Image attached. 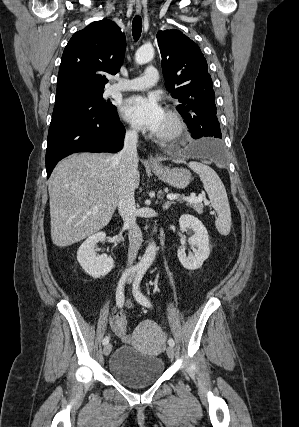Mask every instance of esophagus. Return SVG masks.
<instances>
[{"label":"esophagus","mask_w":299,"mask_h":427,"mask_svg":"<svg viewBox=\"0 0 299 427\" xmlns=\"http://www.w3.org/2000/svg\"><path fill=\"white\" fill-rule=\"evenodd\" d=\"M141 9H142L141 4H140V3L136 4V11H137L138 13H140V12H141ZM148 161H149V164H150L151 166H157V165H159V161H158V159H157L155 156H153L152 154H150V155L148 156Z\"/></svg>","instance_id":"obj_1"}]
</instances>
